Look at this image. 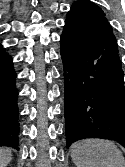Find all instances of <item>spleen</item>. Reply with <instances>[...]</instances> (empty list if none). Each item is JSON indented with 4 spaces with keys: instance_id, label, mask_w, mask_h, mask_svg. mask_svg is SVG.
<instances>
[{
    "instance_id": "obj_1",
    "label": "spleen",
    "mask_w": 125,
    "mask_h": 167,
    "mask_svg": "<svg viewBox=\"0 0 125 167\" xmlns=\"http://www.w3.org/2000/svg\"><path fill=\"white\" fill-rule=\"evenodd\" d=\"M77 167H125V160L114 142L85 139L75 142L70 149Z\"/></svg>"
}]
</instances>
